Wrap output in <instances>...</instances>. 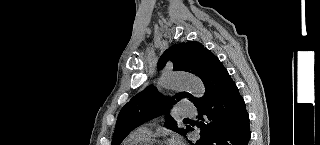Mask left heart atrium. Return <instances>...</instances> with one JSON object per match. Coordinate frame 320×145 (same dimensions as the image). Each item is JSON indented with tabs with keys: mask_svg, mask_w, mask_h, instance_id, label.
<instances>
[{
	"mask_svg": "<svg viewBox=\"0 0 320 145\" xmlns=\"http://www.w3.org/2000/svg\"><path fill=\"white\" fill-rule=\"evenodd\" d=\"M172 145H181L179 138H174L172 140Z\"/></svg>",
	"mask_w": 320,
	"mask_h": 145,
	"instance_id": "39dd6f15",
	"label": "left heart atrium"
}]
</instances>
